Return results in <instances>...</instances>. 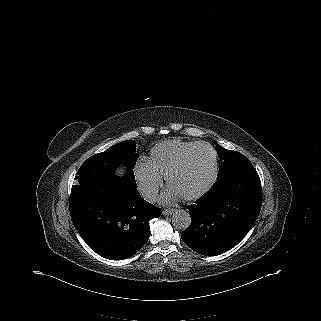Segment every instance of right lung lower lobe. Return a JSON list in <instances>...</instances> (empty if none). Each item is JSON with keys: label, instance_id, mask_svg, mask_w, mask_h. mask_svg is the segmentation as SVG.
I'll return each instance as SVG.
<instances>
[{"label": "right lung lower lobe", "instance_id": "obj_1", "mask_svg": "<svg viewBox=\"0 0 321 321\" xmlns=\"http://www.w3.org/2000/svg\"><path fill=\"white\" fill-rule=\"evenodd\" d=\"M72 222L86 244L98 255L123 260L137 253L150 236L149 221L162 209L136 191L71 192Z\"/></svg>", "mask_w": 321, "mask_h": 321}]
</instances>
